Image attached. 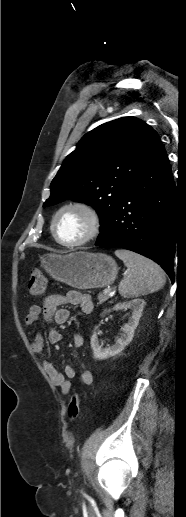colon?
Wrapping results in <instances>:
<instances>
[{"mask_svg": "<svg viewBox=\"0 0 186 517\" xmlns=\"http://www.w3.org/2000/svg\"><path fill=\"white\" fill-rule=\"evenodd\" d=\"M46 288V278L44 273L39 269L32 270L28 282V290L33 296H40ZM80 394L74 392L68 405V416L71 420H75L80 411Z\"/></svg>", "mask_w": 186, "mask_h": 517, "instance_id": "colon-1", "label": "colon"}]
</instances>
